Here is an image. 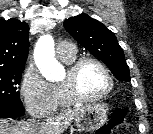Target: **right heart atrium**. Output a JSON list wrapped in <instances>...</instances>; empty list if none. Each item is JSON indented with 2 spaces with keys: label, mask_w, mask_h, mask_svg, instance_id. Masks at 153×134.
Wrapping results in <instances>:
<instances>
[{
  "label": "right heart atrium",
  "mask_w": 153,
  "mask_h": 134,
  "mask_svg": "<svg viewBox=\"0 0 153 134\" xmlns=\"http://www.w3.org/2000/svg\"><path fill=\"white\" fill-rule=\"evenodd\" d=\"M20 92L26 110L33 117L43 118L54 110L53 87L36 67L31 65L25 70Z\"/></svg>",
  "instance_id": "d8ad5b80"
}]
</instances>
